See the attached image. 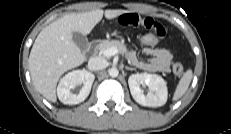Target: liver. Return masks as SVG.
I'll return each instance as SVG.
<instances>
[{"label": "liver", "instance_id": "1", "mask_svg": "<svg viewBox=\"0 0 231 134\" xmlns=\"http://www.w3.org/2000/svg\"><path fill=\"white\" fill-rule=\"evenodd\" d=\"M125 10L96 9L71 13L55 20L37 36L29 56V71L36 90L47 100L56 102V85L61 75L85 60V55L73 41V32L84 36L101 21L103 15L114 19Z\"/></svg>", "mask_w": 231, "mask_h": 134}]
</instances>
